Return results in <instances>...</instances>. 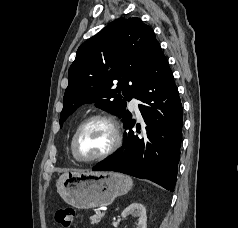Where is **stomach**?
<instances>
[{"label": "stomach", "instance_id": "0dacf381", "mask_svg": "<svg viewBox=\"0 0 238 228\" xmlns=\"http://www.w3.org/2000/svg\"><path fill=\"white\" fill-rule=\"evenodd\" d=\"M133 185L131 177L117 172L63 173L57 181L62 199L78 209L107 206L118 196L126 194Z\"/></svg>", "mask_w": 238, "mask_h": 228}]
</instances>
